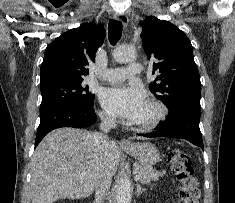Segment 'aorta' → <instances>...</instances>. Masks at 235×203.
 Instances as JSON below:
<instances>
[{
  "label": "aorta",
  "instance_id": "762f6f07",
  "mask_svg": "<svg viewBox=\"0 0 235 203\" xmlns=\"http://www.w3.org/2000/svg\"><path fill=\"white\" fill-rule=\"evenodd\" d=\"M137 57L136 50L132 47L119 45L113 51V58L118 63H128ZM131 183L128 178H122L117 186L116 203H130Z\"/></svg>",
  "mask_w": 235,
  "mask_h": 203
}]
</instances>
